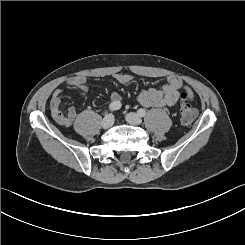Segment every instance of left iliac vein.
<instances>
[{
	"label": "left iliac vein",
	"instance_id": "left-iliac-vein-1",
	"mask_svg": "<svg viewBox=\"0 0 245 245\" xmlns=\"http://www.w3.org/2000/svg\"><path fill=\"white\" fill-rule=\"evenodd\" d=\"M125 120L129 123V124H132V125H138V124H141L142 120L141 118L139 117L138 114L136 113H128L126 116H125Z\"/></svg>",
	"mask_w": 245,
	"mask_h": 245
}]
</instances>
